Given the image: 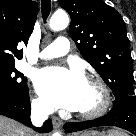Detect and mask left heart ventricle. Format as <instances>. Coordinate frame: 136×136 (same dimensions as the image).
I'll return each mask as SVG.
<instances>
[{
	"instance_id": "obj_1",
	"label": "left heart ventricle",
	"mask_w": 136,
	"mask_h": 136,
	"mask_svg": "<svg viewBox=\"0 0 136 136\" xmlns=\"http://www.w3.org/2000/svg\"><path fill=\"white\" fill-rule=\"evenodd\" d=\"M99 102H100L99 91L94 86L87 83L83 102L78 111L92 110L98 106Z\"/></svg>"
}]
</instances>
